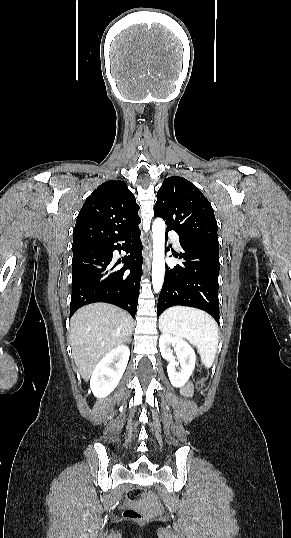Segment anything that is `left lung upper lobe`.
I'll use <instances>...</instances> for the list:
<instances>
[{"instance_id": "left-lung-upper-lobe-1", "label": "left lung upper lobe", "mask_w": 291, "mask_h": 538, "mask_svg": "<svg viewBox=\"0 0 291 538\" xmlns=\"http://www.w3.org/2000/svg\"><path fill=\"white\" fill-rule=\"evenodd\" d=\"M155 216L174 230L180 239L219 244L214 210L202 192L179 176L166 178L157 192Z\"/></svg>"}]
</instances>
